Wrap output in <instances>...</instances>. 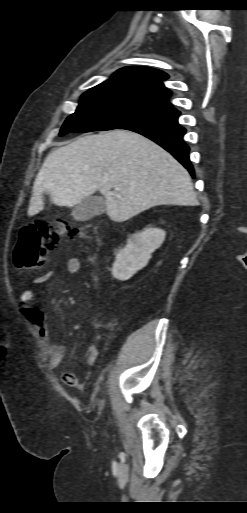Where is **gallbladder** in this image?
<instances>
[{
    "label": "gallbladder",
    "instance_id": "obj_1",
    "mask_svg": "<svg viewBox=\"0 0 247 513\" xmlns=\"http://www.w3.org/2000/svg\"><path fill=\"white\" fill-rule=\"evenodd\" d=\"M106 206L99 196H89L73 206L71 215L77 221H88L105 212Z\"/></svg>",
    "mask_w": 247,
    "mask_h": 513
}]
</instances>
